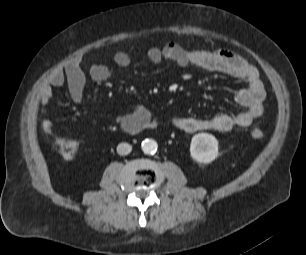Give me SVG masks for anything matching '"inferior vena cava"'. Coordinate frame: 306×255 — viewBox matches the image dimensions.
<instances>
[{
  "label": "inferior vena cava",
  "mask_w": 306,
  "mask_h": 255,
  "mask_svg": "<svg viewBox=\"0 0 306 255\" xmlns=\"http://www.w3.org/2000/svg\"><path fill=\"white\" fill-rule=\"evenodd\" d=\"M132 151V146L128 143H120L117 146V153L119 155H127Z\"/></svg>",
  "instance_id": "602c4592"
}]
</instances>
